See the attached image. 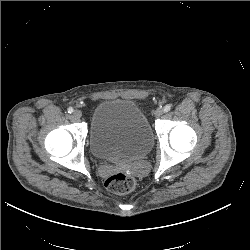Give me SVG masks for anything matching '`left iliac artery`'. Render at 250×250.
<instances>
[{
  "label": "left iliac artery",
  "instance_id": "left-iliac-artery-1",
  "mask_svg": "<svg viewBox=\"0 0 250 250\" xmlns=\"http://www.w3.org/2000/svg\"><path fill=\"white\" fill-rule=\"evenodd\" d=\"M171 107H172L171 104H167V105L163 108V111H164V112H168V111H170Z\"/></svg>",
  "mask_w": 250,
  "mask_h": 250
}]
</instances>
